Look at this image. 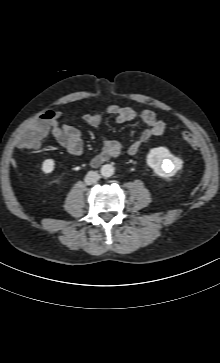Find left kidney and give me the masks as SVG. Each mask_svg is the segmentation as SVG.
Instances as JSON below:
<instances>
[{"mask_svg":"<svg viewBox=\"0 0 220 363\" xmlns=\"http://www.w3.org/2000/svg\"><path fill=\"white\" fill-rule=\"evenodd\" d=\"M147 164L160 177L168 178L176 175L182 168V161L173 156L165 147H156L149 151Z\"/></svg>","mask_w":220,"mask_h":363,"instance_id":"left-kidney-1","label":"left kidney"}]
</instances>
